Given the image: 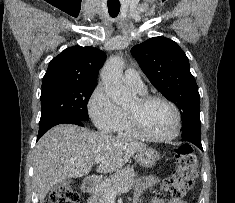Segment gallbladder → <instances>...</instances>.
Listing matches in <instances>:
<instances>
[{
	"label": "gallbladder",
	"mask_w": 235,
	"mask_h": 203,
	"mask_svg": "<svg viewBox=\"0 0 235 203\" xmlns=\"http://www.w3.org/2000/svg\"><path fill=\"white\" fill-rule=\"evenodd\" d=\"M66 181L65 180H58L57 184L53 188H57L59 185H65Z\"/></svg>",
	"instance_id": "1"
}]
</instances>
